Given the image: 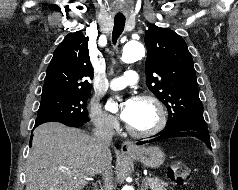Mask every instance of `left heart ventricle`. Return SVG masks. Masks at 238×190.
I'll return each mask as SVG.
<instances>
[{"label": "left heart ventricle", "mask_w": 238, "mask_h": 190, "mask_svg": "<svg viewBox=\"0 0 238 190\" xmlns=\"http://www.w3.org/2000/svg\"><path fill=\"white\" fill-rule=\"evenodd\" d=\"M157 120L154 107L145 101L136 100L132 118L128 124L137 130H147L153 127Z\"/></svg>", "instance_id": "1"}]
</instances>
